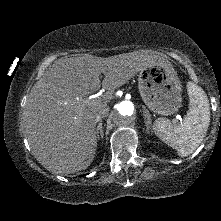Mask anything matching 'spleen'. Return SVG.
<instances>
[{"instance_id": "spleen-1", "label": "spleen", "mask_w": 221, "mask_h": 221, "mask_svg": "<svg viewBox=\"0 0 221 221\" xmlns=\"http://www.w3.org/2000/svg\"><path fill=\"white\" fill-rule=\"evenodd\" d=\"M189 111L183 122L172 124L168 119L159 118L153 130L163 142L177 150L181 157L193 153L203 141L210 123V106L206 93L194 82L187 83Z\"/></svg>"}]
</instances>
